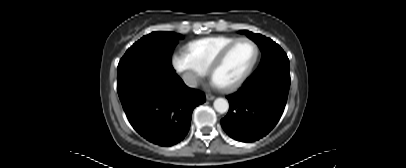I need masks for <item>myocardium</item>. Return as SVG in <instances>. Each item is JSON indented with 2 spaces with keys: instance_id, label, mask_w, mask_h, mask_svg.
<instances>
[{
  "instance_id": "1",
  "label": "myocardium",
  "mask_w": 406,
  "mask_h": 168,
  "mask_svg": "<svg viewBox=\"0 0 406 168\" xmlns=\"http://www.w3.org/2000/svg\"><path fill=\"white\" fill-rule=\"evenodd\" d=\"M241 42H249L253 45V47L255 49L254 57L251 60V62L249 63V65L246 67V69L241 73V75L237 79H235L234 81H232L226 85L220 86V88L225 91H232V90L237 89L249 77V75L251 74L252 70L254 69V67L258 61V58H259L260 49H259L258 44L254 40H252L251 38H248V37L236 38L235 40H233L231 43H229L228 45H226L224 48H222L219 51V53L215 56V58L213 59L211 65L208 69L209 75L211 76L212 79H214V75H215L216 71L222 65V63L224 62V60L227 57V55L229 54V52L233 49V47L235 45H237L238 43H241Z\"/></svg>"
}]
</instances>
